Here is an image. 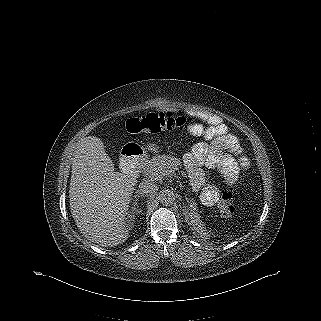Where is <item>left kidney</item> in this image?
Masks as SVG:
<instances>
[{"label":"left kidney","instance_id":"5707ae66","mask_svg":"<svg viewBox=\"0 0 321 321\" xmlns=\"http://www.w3.org/2000/svg\"><path fill=\"white\" fill-rule=\"evenodd\" d=\"M191 222L194 226V228H196L197 232L203 236H205L207 234V230L206 228L203 226V224H201V221L199 219V217L196 215H191Z\"/></svg>","mask_w":321,"mask_h":321}]
</instances>
